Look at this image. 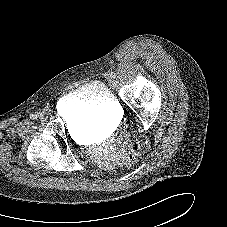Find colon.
Instances as JSON below:
<instances>
[{"label": "colon", "instance_id": "colon-1", "mask_svg": "<svg viewBox=\"0 0 227 227\" xmlns=\"http://www.w3.org/2000/svg\"><path fill=\"white\" fill-rule=\"evenodd\" d=\"M120 142L126 146L128 162H136L141 151L140 145L135 141H131L127 135L121 136Z\"/></svg>", "mask_w": 227, "mask_h": 227}]
</instances>
